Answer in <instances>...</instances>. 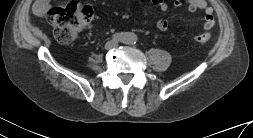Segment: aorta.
I'll return each instance as SVG.
<instances>
[{
  "mask_svg": "<svg viewBox=\"0 0 253 138\" xmlns=\"http://www.w3.org/2000/svg\"><path fill=\"white\" fill-rule=\"evenodd\" d=\"M137 41V35L132 33V32H128L125 34L124 36V42L131 44V43H135Z\"/></svg>",
  "mask_w": 253,
  "mask_h": 138,
  "instance_id": "1",
  "label": "aorta"
}]
</instances>
